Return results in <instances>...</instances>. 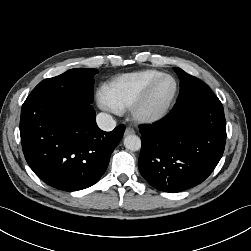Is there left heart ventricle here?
<instances>
[{
	"mask_svg": "<svg viewBox=\"0 0 251 251\" xmlns=\"http://www.w3.org/2000/svg\"><path fill=\"white\" fill-rule=\"evenodd\" d=\"M174 88L173 81L171 79H165L158 84V86L154 89L149 101H148V109H157L162 106L167 99L170 97Z\"/></svg>",
	"mask_w": 251,
	"mask_h": 251,
	"instance_id": "b2bd125f",
	"label": "left heart ventricle"
}]
</instances>
